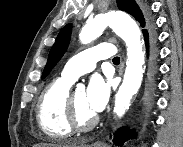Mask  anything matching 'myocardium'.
Returning a JSON list of instances; mask_svg holds the SVG:
<instances>
[{
  "label": "myocardium",
  "mask_w": 183,
  "mask_h": 147,
  "mask_svg": "<svg viewBox=\"0 0 183 147\" xmlns=\"http://www.w3.org/2000/svg\"><path fill=\"white\" fill-rule=\"evenodd\" d=\"M67 109H68V120L71 127L78 132H86L91 130L98 123V116H94L88 121H82L79 116L75 106L73 95H69L67 101Z\"/></svg>",
  "instance_id": "f54148a6"
}]
</instances>
